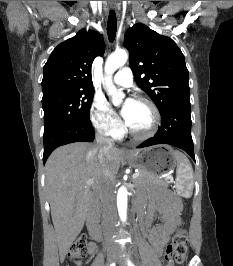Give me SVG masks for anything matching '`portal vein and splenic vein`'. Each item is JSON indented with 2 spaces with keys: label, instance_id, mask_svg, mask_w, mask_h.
Instances as JSON below:
<instances>
[{
  "label": "portal vein and splenic vein",
  "instance_id": "obj_1",
  "mask_svg": "<svg viewBox=\"0 0 233 266\" xmlns=\"http://www.w3.org/2000/svg\"><path fill=\"white\" fill-rule=\"evenodd\" d=\"M137 177H139V173H134L133 175H132V178L133 179H136ZM171 178V176L170 175H168V176H166L165 177V179L166 180H168V179H170ZM94 183V181L93 180H88L87 182H86V185H92Z\"/></svg>",
  "mask_w": 233,
  "mask_h": 266
}]
</instances>
